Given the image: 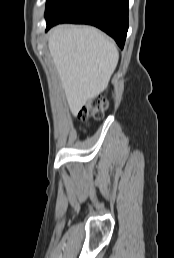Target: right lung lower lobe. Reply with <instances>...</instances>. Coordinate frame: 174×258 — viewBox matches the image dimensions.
<instances>
[{
    "mask_svg": "<svg viewBox=\"0 0 174 258\" xmlns=\"http://www.w3.org/2000/svg\"><path fill=\"white\" fill-rule=\"evenodd\" d=\"M46 23V31L59 23L96 26L123 49L128 30V0H66Z\"/></svg>",
    "mask_w": 174,
    "mask_h": 258,
    "instance_id": "obj_1",
    "label": "right lung lower lobe"
}]
</instances>
